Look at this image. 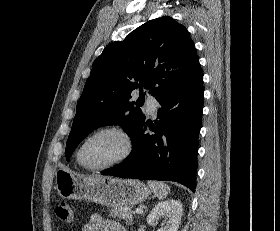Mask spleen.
Returning <instances> with one entry per match:
<instances>
[{
  "label": "spleen",
  "mask_w": 280,
  "mask_h": 231,
  "mask_svg": "<svg viewBox=\"0 0 280 231\" xmlns=\"http://www.w3.org/2000/svg\"><path fill=\"white\" fill-rule=\"evenodd\" d=\"M149 187H151L153 193H155L158 199H165L167 193L170 191L169 185L164 181H148Z\"/></svg>",
  "instance_id": "1"
}]
</instances>
